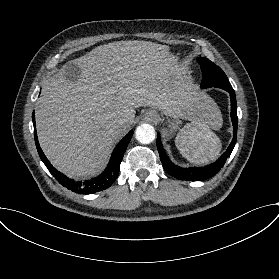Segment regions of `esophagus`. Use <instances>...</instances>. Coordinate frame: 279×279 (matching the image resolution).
I'll use <instances>...</instances> for the list:
<instances>
[{"instance_id": "obj_1", "label": "esophagus", "mask_w": 279, "mask_h": 279, "mask_svg": "<svg viewBox=\"0 0 279 279\" xmlns=\"http://www.w3.org/2000/svg\"><path fill=\"white\" fill-rule=\"evenodd\" d=\"M156 115H157V113H153L151 117H152V118H155Z\"/></svg>"}]
</instances>
